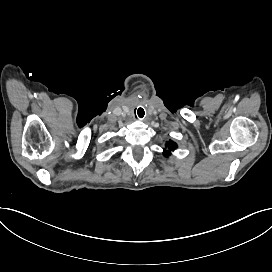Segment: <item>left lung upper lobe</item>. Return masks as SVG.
<instances>
[{"instance_id":"left-lung-upper-lobe-1","label":"left lung upper lobe","mask_w":272,"mask_h":272,"mask_svg":"<svg viewBox=\"0 0 272 272\" xmlns=\"http://www.w3.org/2000/svg\"><path fill=\"white\" fill-rule=\"evenodd\" d=\"M176 147H177V144L175 142H173L171 140L169 142H166V148L167 149H164V152H163L164 156H166V157L170 156L171 151L176 149Z\"/></svg>"}]
</instances>
